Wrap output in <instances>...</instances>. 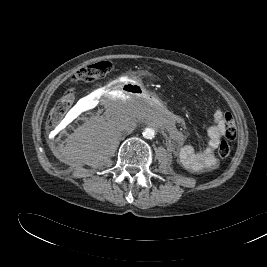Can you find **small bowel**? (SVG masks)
I'll return each mask as SVG.
<instances>
[{
  "instance_id": "c3829d8e",
  "label": "small bowel",
  "mask_w": 267,
  "mask_h": 267,
  "mask_svg": "<svg viewBox=\"0 0 267 267\" xmlns=\"http://www.w3.org/2000/svg\"><path fill=\"white\" fill-rule=\"evenodd\" d=\"M228 116L221 109L214 108L213 124L207 129L208 143L206 147L196 149L186 145L177 151V158L186 169L192 172H203L217 167L218 161L215 157V150L225 136ZM171 129L173 136L179 138V133L173 127Z\"/></svg>"
}]
</instances>
